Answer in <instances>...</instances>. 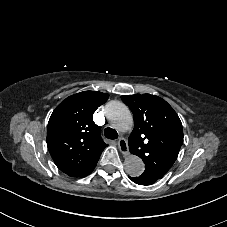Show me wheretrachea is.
<instances>
[{"label":"trachea","mask_w":227,"mask_h":227,"mask_svg":"<svg viewBox=\"0 0 227 227\" xmlns=\"http://www.w3.org/2000/svg\"><path fill=\"white\" fill-rule=\"evenodd\" d=\"M104 134H105V137L108 139L114 140L118 138V133L113 128H110V127L105 128Z\"/></svg>","instance_id":"1"}]
</instances>
